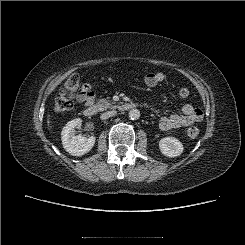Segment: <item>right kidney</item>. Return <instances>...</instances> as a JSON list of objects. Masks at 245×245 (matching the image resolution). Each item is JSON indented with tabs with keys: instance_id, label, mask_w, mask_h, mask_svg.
<instances>
[{
	"instance_id": "right-kidney-1",
	"label": "right kidney",
	"mask_w": 245,
	"mask_h": 245,
	"mask_svg": "<svg viewBox=\"0 0 245 245\" xmlns=\"http://www.w3.org/2000/svg\"><path fill=\"white\" fill-rule=\"evenodd\" d=\"M82 120L80 118L69 121L63 128L61 133V139L64 149L73 156H81L89 152L96 141L94 136L89 138L81 135H75V127L81 125Z\"/></svg>"
}]
</instances>
